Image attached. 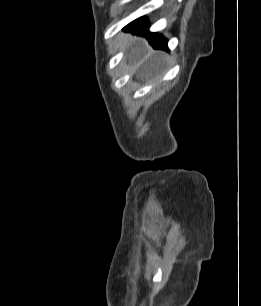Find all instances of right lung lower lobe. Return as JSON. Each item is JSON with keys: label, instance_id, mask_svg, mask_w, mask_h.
<instances>
[{"label": "right lung lower lobe", "instance_id": "98d812e1", "mask_svg": "<svg viewBox=\"0 0 261 306\" xmlns=\"http://www.w3.org/2000/svg\"><path fill=\"white\" fill-rule=\"evenodd\" d=\"M128 29L136 31L137 34H146L148 37V41L155 49H167V40L161 37L157 33H148L149 25L146 23L145 18H139L133 22H131L128 26Z\"/></svg>", "mask_w": 261, "mask_h": 306}]
</instances>
